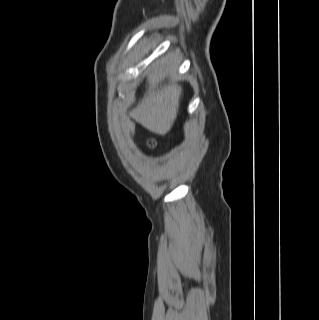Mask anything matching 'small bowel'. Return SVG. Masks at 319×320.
<instances>
[{"instance_id": "obj_1", "label": "small bowel", "mask_w": 319, "mask_h": 320, "mask_svg": "<svg viewBox=\"0 0 319 320\" xmlns=\"http://www.w3.org/2000/svg\"><path fill=\"white\" fill-rule=\"evenodd\" d=\"M127 128H128L129 133H132V131L134 129V122L132 120L128 121Z\"/></svg>"}]
</instances>
